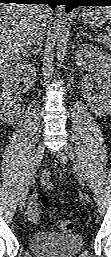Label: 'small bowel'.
<instances>
[{
    "label": "small bowel",
    "mask_w": 111,
    "mask_h": 257,
    "mask_svg": "<svg viewBox=\"0 0 111 257\" xmlns=\"http://www.w3.org/2000/svg\"><path fill=\"white\" fill-rule=\"evenodd\" d=\"M41 182L42 185L45 189H52L53 185L50 180V172L48 170L44 171L43 174L41 175ZM26 215L29 220L31 221H37L39 218V212L37 208L33 205L29 206V208L26 211Z\"/></svg>",
    "instance_id": "c3829d8e"
}]
</instances>
